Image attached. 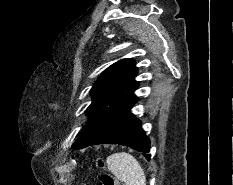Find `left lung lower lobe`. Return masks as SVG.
<instances>
[{"label":"left lung lower lobe","instance_id":"obj_1","mask_svg":"<svg viewBox=\"0 0 233 185\" xmlns=\"http://www.w3.org/2000/svg\"><path fill=\"white\" fill-rule=\"evenodd\" d=\"M138 84L118 97L104 115L86 131L76 143L74 149H81L95 144H120L131 147L150 160V141L141 128V122L130 113L137 97L133 92Z\"/></svg>","mask_w":233,"mask_h":185}]
</instances>
